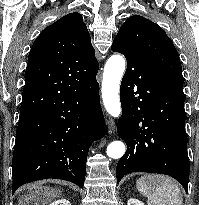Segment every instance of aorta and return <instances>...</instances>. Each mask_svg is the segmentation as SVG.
<instances>
[{
  "label": "aorta",
  "instance_id": "1",
  "mask_svg": "<svg viewBox=\"0 0 199 205\" xmlns=\"http://www.w3.org/2000/svg\"><path fill=\"white\" fill-rule=\"evenodd\" d=\"M124 70L125 59L121 55L111 56L104 68L102 99L105 109L113 117H119L121 114L119 87ZM106 153L110 158L118 159L125 153V144L122 141H114L108 145Z\"/></svg>",
  "mask_w": 199,
  "mask_h": 205
}]
</instances>
